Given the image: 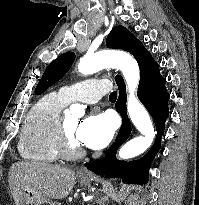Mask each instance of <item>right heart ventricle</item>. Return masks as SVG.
I'll return each instance as SVG.
<instances>
[{
    "label": "right heart ventricle",
    "mask_w": 199,
    "mask_h": 205,
    "mask_svg": "<svg viewBox=\"0 0 199 205\" xmlns=\"http://www.w3.org/2000/svg\"><path fill=\"white\" fill-rule=\"evenodd\" d=\"M67 102L59 93L43 96L27 114L18 145L21 157L39 164H51L59 159L55 137L60 112Z\"/></svg>",
    "instance_id": "right-heart-ventricle-1"
}]
</instances>
